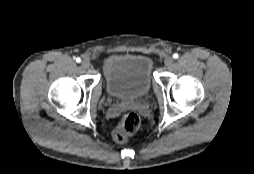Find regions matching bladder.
<instances>
[{"mask_svg":"<svg viewBox=\"0 0 254 174\" xmlns=\"http://www.w3.org/2000/svg\"><path fill=\"white\" fill-rule=\"evenodd\" d=\"M152 62L142 54H125L110 59L104 68L108 94L133 101L146 96L152 87Z\"/></svg>","mask_w":254,"mask_h":174,"instance_id":"obj_1","label":"bladder"}]
</instances>
